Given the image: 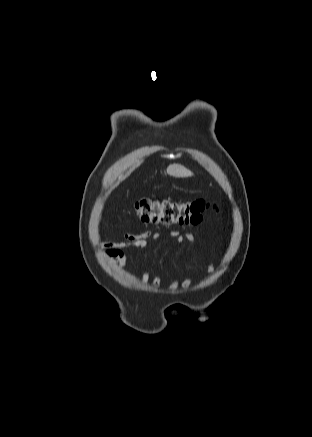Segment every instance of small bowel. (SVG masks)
<instances>
[{
    "mask_svg": "<svg viewBox=\"0 0 312 437\" xmlns=\"http://www.w3.org/2000/svg\"><path fill=\"white\" fill-rule=\"evenodd\" d=\"M171 236L177 239L179 244L183 242L192 241L193 237L187 233L181 235L178 231H171ZM161 237L158 232L146 231L139 234H124V242H106L102 245L105 255L120 267H124L129 256L130 249H145L149 244V239L153 241L159 240ZM213 270V264L209 265V272ZM191 284L190 279L182 281L179 286L186 288Z\"/></svg>",
    "mask_w": 312,
    "mask_h": 437,
    "instance_id": "1",
    "label": "small bowel"
}]
</instances>
